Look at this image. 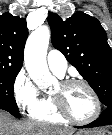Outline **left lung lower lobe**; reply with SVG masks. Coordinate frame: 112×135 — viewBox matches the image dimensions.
Here are the masks:
<instances>
[{
	"label": "left lung lower lobe",
	"mask_w": 112,
	"mask_h": 135,
	"mask_svg": "<svg viewBox=\"0 0 112 135\" xmlns=\"http://www.w3.org/2000/svg\"><path fill=\"white\" fill-rule=\"evenodd\" d=\"M104 125H112V106L106 107L97 120L88 125L79 126L77 128L98 127Z\"/></svg>",
	"instance_id": "0a47b994"
}]
</instances>
